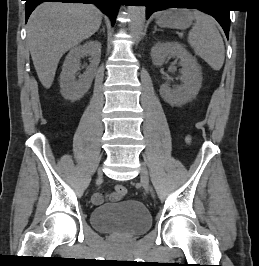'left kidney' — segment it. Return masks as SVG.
<instances>
[{
	"label": "left kidney",
	"instance_id": "1",
	"mask_svg": "<svg viewBox=\"0 0 259 266\" xmlns=\"http://www.w3.org/2000/svg\"><path fill=\"white\" fill-rule=\"evenodd\" d=\"M152 62L162 66L167 58L180 59L182 66V85L173 90L168 83L160 87V95L170 105L181 106L191 101L199 92L202 83V71L196 60L178 42H158L151 49Z\"/></svg>",
	"mask_w": 259,
	"mask_h": 266
}]
</instances>
